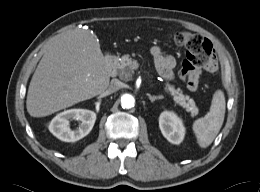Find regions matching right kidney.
Segmentation results:
<instances>
[{"mask_svg": "<svg viewBox=\"0 0 260 192\" xmlns=\"http://www.w3.org/2000/svg\"><path fill=\"white\" fill-rule=\"evenodd\" d=\"M80 120L81 126L76 130H71L69 121ZM96 121V113L87 109H70L59 113L49 124L50 132L58 139L65 142H75L92 130Z\"/></svg>", "mask_w": 260, "mask_h": 192, "instance_id": "obj_1", "label": "right kidney"}]
</instances>
